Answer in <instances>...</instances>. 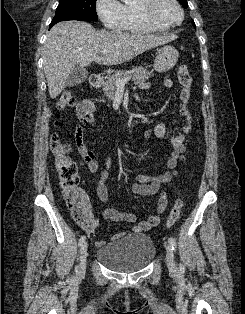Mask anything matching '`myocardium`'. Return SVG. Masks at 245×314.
<instances>
[{
    "mask_svg": "<svg viewBox=\"0 0 245 314\" xmlns=\"http://www.w3.org/2000/svg\"><path fill=\"white\" fill-rule=\"evenodd\" d=\"M162 0H141L139 4V10L147 21L164 28H172L180 25L185 18L184 10L178 0H170L172 3L176 5L181 14V20L178 23H171L163 18H161L158 14V6Z\"/></svg>",
    "mask_w": 245,
    "mask_h": 314,
    "instance_id": "obj_1",
    "label": "myocardium"
}]
</instances>
